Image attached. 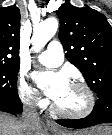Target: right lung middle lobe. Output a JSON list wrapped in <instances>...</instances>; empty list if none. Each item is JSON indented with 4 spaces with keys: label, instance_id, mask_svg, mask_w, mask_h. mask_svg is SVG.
I'll return each mask as SVG.
<instances>
[{
    "label": "right lung middle lobe",
    "instance_id": "1",
    "mask_svg": "<svg viewBox=\"0 0 112 135\" xmlns=\"http://www.w3.org/2000/svg\"><path fill=\"white\" fill-rule=\"evenodd\" d=\"M19 62L0 63V100L20 101L17 93Z\"/></svg>",
    "mask_w": 112,
    "mask_h": 135
}]
</instances>
